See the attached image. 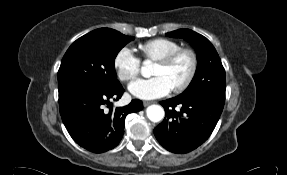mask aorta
I'll use <instances>...</instances> for the list:
<instances>
[{"mask_svg": "<svg viewBox=\"0 0 287 175\" xmlns=\"http://www.w3.org/2000/svg\"><path fill=\"white\" fill-rule=\"evenodd\" d=\"M150 61H145L144 66L142 67V73L144 76L150 75ZM147 117L152 122H159L164 118V109L160 105H150L146 109Z\"/></svg>", "mask_w": 287, "mask_h": 175, "instance_id": "aorta-1", "label": "aorta"}]
</instances>
